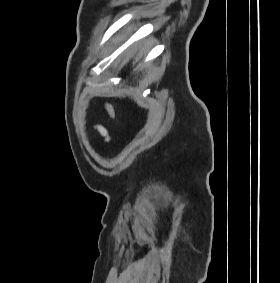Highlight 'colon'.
Listing matches in <instances>:
<instances>
[{"label":"colon","mask_w":280,"mask_h":283,"mask_svg":"<svg viewBox=\"0 0 280 283\" xmlns=\"http://www.w3.org/2000/svg\"><path fill=\"white\" fill-rule=\"evenodd\" d=\"M106 109L111 117H113V108L110 104L106 105Z\"/></svg>","instance_id":"colon-1"}]
</instances>
